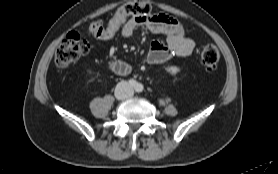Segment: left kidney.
Instances as JSON below:
<instances>
[{"mask_svg": "<svg viewBox=\"0 0 278 174\" xmlns=\"http://www.w3.org/2000/svg\"><path fill=\"white\" fill-rule=\"evenodd\" d=\"M168 72L171 73V74H176V73L179 72V68L176 67V66H170V67L168 68Z\"/></svg>", "mask_w": 278, "mask_h": 174, "instance_id": "5707ae66", "label": "left kidney"}]
</instances>
